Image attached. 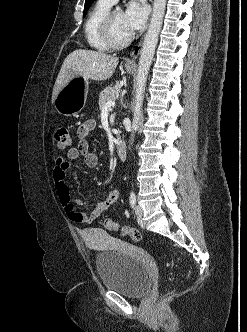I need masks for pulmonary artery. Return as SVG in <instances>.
Segmentation results:
<instances>
[{"mask_svg":"<svg viewBox=\"0 0 247 332\" xmlns=\"http://www.w3.org/2000/svg\"><path fill=\"white\" fill-rule=\"evenodd\" d=\"M106 1H108V2L111 3V4H114V3H116L118 0H106Z\"/></svg>","mask_w":247,"mask_h":332,"instance_id":"e3ab8cb5","label":"pulmonary artery"}]
</instances>
